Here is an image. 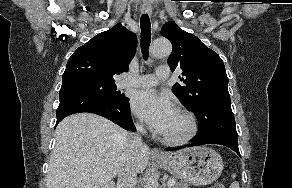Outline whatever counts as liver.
<instances>
[{"label":"liver","mask_w":292,"mask_h":188,"mask_svg":"<svg viewBox=\"0 0 292 188\" xmlns=\"http://www.w3.org/2000/svg\"><path fill=\"white\" fill-rule=\"evenodd\" d=\"M129 133L91 113L63 119L56 128V143L47 173V188H106L129 155ZM147 146L134 154L136 171L149 161Z\"/></svg>","instance_id":"1"}]
</instances>
